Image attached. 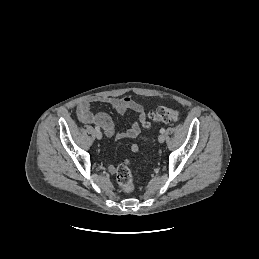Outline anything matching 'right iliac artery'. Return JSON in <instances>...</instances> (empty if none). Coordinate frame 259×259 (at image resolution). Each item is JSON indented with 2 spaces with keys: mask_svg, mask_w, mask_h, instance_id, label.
<instances>
[{
  "mask_svg": "<svg viewBox=\"0 0 259 259\" xmlns=\"http://www.w3.org/2000/svg\"><path fill=\"white\" fill-rule=\"evenodd\" d=\"M96 131H100V128L98 126L95 127Z\"/></svg>",
  "mask_w": 259,
  "mask_h": 259,
  "instance_id": "right-iliac-artery-1",
  "label": "right iliac artery"
}]
</instances>
